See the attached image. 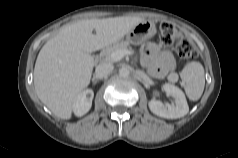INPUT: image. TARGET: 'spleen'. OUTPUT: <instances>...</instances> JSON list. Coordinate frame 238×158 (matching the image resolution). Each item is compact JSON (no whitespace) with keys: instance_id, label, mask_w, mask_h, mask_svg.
<instances>
[{"instance_id":"spleen-1","label":"spleen","mask_w":238,"mask_h":158,"mask_svg":"<svg viewBox=\"0 0 238 158\" xmlns=\"http://www.w3.org/2000/svg\"><path fill=\"white\" fill-rule=\"evenodd\" d=\"M186 95L190 100L200 99L205 86L204 68L199 62H190L180 73Z\"/></svg>"}]
</instances>
